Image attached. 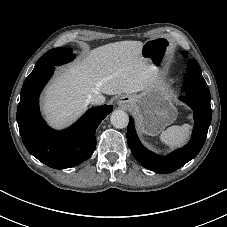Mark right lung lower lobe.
I'll return each instance as SVG.
<instances>
[{
  "label": "right lung lower lobe",
  "mask_w": 227,
  "mask_h": 227,
  "mask_svg": "<svg viewBox=\"0 0 227 227\" xmlns=\"http://www.w3.org/2000/svg\"><path fill=\"white\" fill-rule=\"evenodd\" d=\"M54 72V66L25 80L17 108L22 141L30 154L54 169L76 166L96 148L95 130L112 111L103 105L88 110L74 125L63 131L49 128L39 112V95Z\"/></svg>",
  "instance_id": "1"
}]
</instances>
